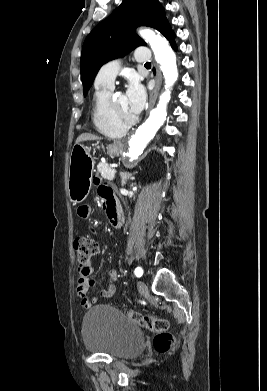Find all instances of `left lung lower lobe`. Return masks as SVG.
<instances>
[{
  "instance_id": "left-lung-lower-lobe-1",
  "label": "left lung lower lobe",
  "mask_w": 267,
  "mask_h": 391,
  "mask_svg": "<svg viewBox=\"0 0 267 391\" xmlns=\"http://www.w3.org/2000/svg\"><path fill=\"white\" fill-rule=\"evenodd\" d=\"M164 36H165V37L167 38V40L170 42L171 47H172L174 50H176V49H177V46H176L175 41H174V39H175V34H174V32L172 31V29H169V30L164 34Z\"/></svg>"
}]
</instances>
